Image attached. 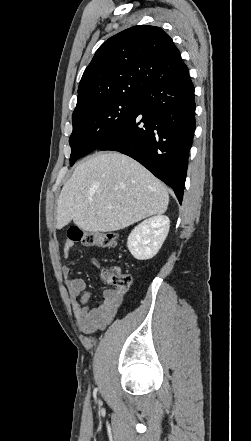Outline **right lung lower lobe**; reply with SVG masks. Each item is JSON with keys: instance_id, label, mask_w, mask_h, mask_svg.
<instances>
[{"instance_id": "1", "label": "right lung lower lobe", "mask_w": 251, "mask_h": 441, "mask_svg": "<svg viewBox=\"0 0 251 441\" xmlns=\"http://www.w3.org/2000/svg\"><path fill=\"white\" fill-rule=\"evenodd\" d=\"M194 131V86L185 67L145 90L135 111L97 150L137 160L169 185L181 204Z\"/></svg>"}]
</instances>
